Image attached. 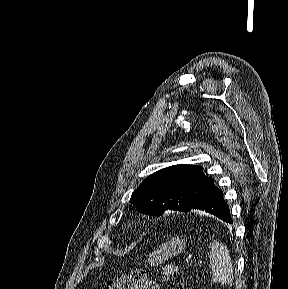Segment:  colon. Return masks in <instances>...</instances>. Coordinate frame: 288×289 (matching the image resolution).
Masks as SVG:
<instances>
[{"mask_svg": "<svg viewBox=\"0 0 288 289\" xmlns=\"http://www.w3.org/2000/svg\"><path fill=\"white\" fill-rule=\"evenodd\" d=\"M106 289H159V285L149 279L146 271L136 269L110 281Z\"/></svg>", "mask_w": 288, "mask_h": 289, "instance_id": "1", "label": "colon"}]
</instances>
